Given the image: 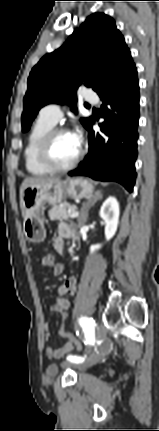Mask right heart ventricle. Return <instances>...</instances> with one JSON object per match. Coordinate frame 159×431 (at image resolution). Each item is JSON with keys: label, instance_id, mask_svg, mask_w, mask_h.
Wrapping results in <instances>:
<instances>
[{"label": "right heart ventricle", "instance_id": "obj_1", "mask_svg": "<svg viewBox=\"0 0 159 431\" xmlns=\"http://www.w3.org/2000/svg\"><path fill=\"white\" fill-rule=\"evenodd\" d=\"M54 125V123L40 115L27 136L23 156L25 168L31 175L44 176L51 172L39 161L38 147L44 135L52 129Z\"/></svg>", "mask_w": 159, "mask_h": 431}]
</instances>
